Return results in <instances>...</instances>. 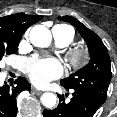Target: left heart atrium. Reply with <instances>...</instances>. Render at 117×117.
Masks as SVG:
<instances>
[{
  "instance_id": "obj_1",
  "label": "left heart atrium",
  "mask_w": 117,
  "mask_h": 117,
  "mask_svg": "<svg viewBox=\"0 0 117 117\" xmlns=\"http://www.w3.org/2000/svg\"><path fill=\"white\" fill-rule=\"evenodd\" d=\"M24 70L31 81L38 86H45L50 81L63 75L60 61L54 58H30L24 62Z\"/></svg>"
}]
</instances>
